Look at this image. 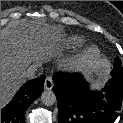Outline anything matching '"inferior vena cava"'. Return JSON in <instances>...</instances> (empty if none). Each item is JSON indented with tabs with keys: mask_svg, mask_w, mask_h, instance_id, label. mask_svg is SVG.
<instances>
[{
	"mask_svg": "<svg viewBox=\"0 0 123 123\" xmlns=\"http://www.w3.org/2000/svg\"><path fill=\"white\" fill-rule=\"evenodd\" d=\"M40 65L33 64L31 65L23 74V77L26 79H33L37 76V72L39 71Z\"/></svg>",
	"mask_w": 123,
	"mask_h": 123,
	"instance_id": "obj_1",
	"label": "inferior vena cava"
}]
</instances>
